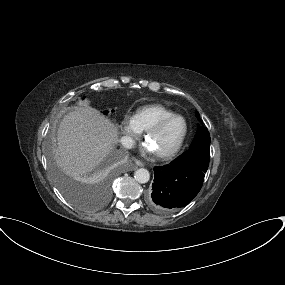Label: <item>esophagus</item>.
Instances as JSON below:
<instances>
[{"label": "esophagus", "instance_id": "obj_1", "mask_svg": "<svg viewBox=\"0 0 285 285\" xmlns=\"http://www.w3.org/2000/svg\"><path fill=\"white\" fill-rule=\"evenodd\" d=\"M135 164H136V165H132V166L129 168L130 171L135 170L137 167H143V166H144V163L141 162L140 160H136V161H135Z\"/></svg>", "mask_w": 285, "mask_h": 285}]
</instances>
